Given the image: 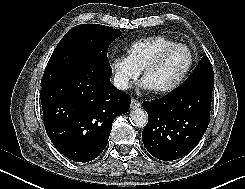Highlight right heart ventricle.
Segmentation results:
<instances>
[{
    "mask_svg": "<svg viewBox=\"0 0 245 189\" xmlns=\"http://www.w3.org/2000/svg\"><path fill=\"white\" fill-rule=\"evenodd\" d=\"M172 43L175 41L162 34L144 37L126 46V57L136 69L141 71L162 47Z\"/></svg>",
    "mask_w": 245,
    "mask_h": 189,
    "instance_id": "obj_1",
    "label": "right heart ventricle"
}]
</instances>
